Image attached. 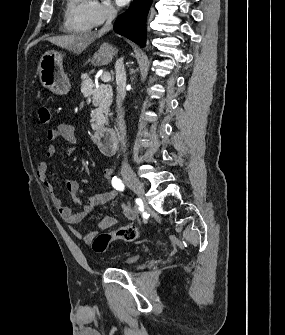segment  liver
Listing matches in <instances>:
<instances>
[{
    "label": "liver",
    "instance_id": "6515ba94",
    "mask_svg": "<svg viewBox=\"0 0 285 335\" xmlns=\"http://www.w3.org/2000/svg\"><path fill=\"white\" fill-rule=\"evenodd\" d=\"M96 38H100V34H72V36L48 38V42L59 46V48H65L69 52H74V54H81ZM115 54L116 50L110 44H102L100 50L94 54L91 62L93 66H107V64L112 62Z\"/></svg>",
    "mask_w": 285,
    "mask_h": 335
}]
</instances>
